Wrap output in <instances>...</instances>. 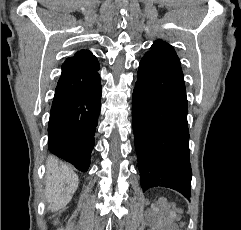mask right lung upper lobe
Listing matches in <instances>:
<instances>
[{
  "instance_id": "1",
  "label": "right lung upper lobe",
  "mask_w": 241,
  "mask_h": 230,
  "mask_svg": "<svg viewBox=\"0 0 241 230\" xmlns=\"http://www.w3.org/2000/svg\"><path fill=\"white\" fill-rule=\"evenodd\" d=\"M71 59H74L82 66L99 67L97 58L87 50L78 51Z\"/></svg>"
}]
</instances>
